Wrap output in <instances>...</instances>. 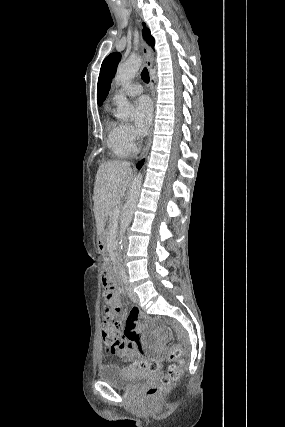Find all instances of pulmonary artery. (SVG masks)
Wrapping results in <instances>:
<instances>
[{"label": "pulmonary artery", "mask_w": 285, "mask_h": 427, "mask_svg": "<svg viewBox=\"0 0 285 427\" xmlns=\"http://www.w3.org/2000/svg\"><path fill=\"white\" fill-rule=\"evenodd\" d=\"M143 91V88L141 86V84L136 83V82H130L128 84H126L123 88V92L125 95L127 96H137L140 95Z\"/></svg>", "instance_id": "obj_1"}]
</instances>
